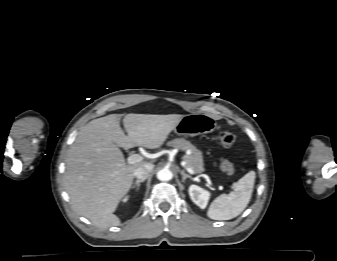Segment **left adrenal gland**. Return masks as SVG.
<instances>
[{
  "mask_svg": "<svg viewBox=\"0 0 337 261\" xmlns=\"http://www.w3.org/2000/svg\"><path fill=\"white\" fill-rule=\"evenodd\" d=\"M180 173H181V175H182V182H183V183L185 182V180H186L187 178H189V179H191V180L193 179L192 176H190L189 174H186L184 170H181Z\"/></svg>",
  "mask_w": 337,
  "mask_h": 261,
  "instance_id": "left-adrenal-gland-1",
  "label": "left adrenal gland"
}]
</instances>
